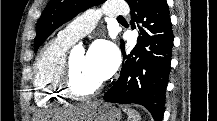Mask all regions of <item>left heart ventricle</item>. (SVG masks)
Listing matches in <instances>:
<instances>
[{"instance_id":"1","label":"left heart ventricle","mask_w":217,"mask_h":121,"mask_svg":"<svg viewBox=\"0 0 217 121\" xmlns=\"http://www.w3.org/2000/svg\"><path fill=\"white\" fill-rule=\"evenodd\" d=\"M73 68V79L78 89L89 91L95 88L101 80L96 76L89 66L84 54L75 55L71 58Z\"/></svg>"}]
</instances>
